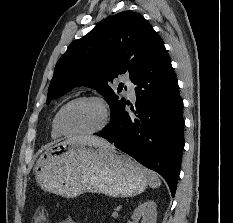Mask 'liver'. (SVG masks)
Returning <instances> with one entry per match:
<instances>
[{"mask_svg":"<svg viewBox=\"0 0 233 223\" xmlns=\"http://www.w3.org/2000/svg\"><path fill=\"white\" fill-rule=\"evenodd\" d=\"M71 143H87V145H98V147H108V149H116L115 145L108 143L103 137L97 135H81V137H71L68 139Z\"/></svg>","mask_w":233,"mask_h":223,"instance_id":"obj_1","label":"liver"}]
</instances>
